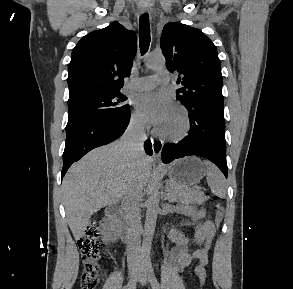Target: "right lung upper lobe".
<instances>
[{"instance_id": "cb5924a9", "label": "right lung upper lobe", "mask_w": 293, "mask_h": 289, "mask_svg": "<svg viewBox=\"0 0 293 289\" xmlns=\"http://www.w3.org/2000/svg\"><path fill=\"white\" fill-rule=\"evenodd\" d=\"M136 50V34L118 22L84 36L72 50L68 65V101L120 92Z\"/></svg>"}]
</instances>
